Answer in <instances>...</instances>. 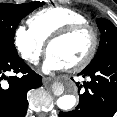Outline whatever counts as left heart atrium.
I'll return each mask as SVG.
<instances>
[{
    "mask_svg": "<svg viewBox=\"0 0 117 117\" xmlns=\"http://www.w3.org/2000/svg\"><path fill=\"white\" fill-rule=\"evenodd\" d=\"M68 68V66L56 56L49 54L43 64V71L47 74L62 71Z\"/></svg>",
    "mask_w": 117,
    "mask_h": 117,
    "instance_id": "obj_1",
    "label": "left heart atrium"
}]
</instances>
